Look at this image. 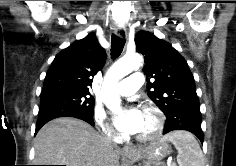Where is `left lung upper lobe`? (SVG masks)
<instances>
[{
	"label": "left lung upper lobe",
	"mask_w": 236,
	"mask_h": 166,
	"mask_svg": "<svg viewBox=\"0 0 236 166\" xmlns=\"http://www.w3.org/2000/svg\"><path fill=\"white\" fill-rule=\"evenodd\" d=\"M135 43L145 55L144 73L155 79L147 83L148 96L166 116L199 101L189 66L171 44L147 31L138 32Z\"/></svg>",
	"instance_id": "obj_1"
}]
</instances>
